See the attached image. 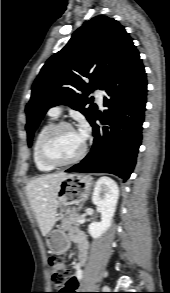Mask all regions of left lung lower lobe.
Returning <instances> with one entry per match:
<instances>
[{"label":"left lung lower lobe","mask_w":170,"mask_h":293,"mask_svg":"<svg viewBox=\"0 0 170 293\" xmlns=\"http://www.w3.org/2000/svg\"><path fill=\"white\" fill-rule=\"evenodd\" d=\"M108 109L96 112L90 124L94 144L90 153L66 172L111 173L127 180L142 140L147 80L139 52L132 46L103 87ZM100 120L102 127L96 125Z\"/></svg>","instance_id":"obj_1"}]
</instances>
